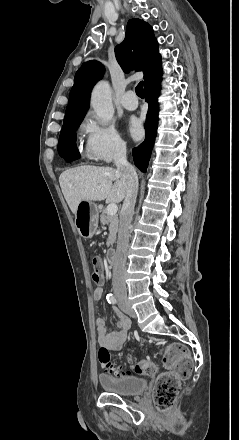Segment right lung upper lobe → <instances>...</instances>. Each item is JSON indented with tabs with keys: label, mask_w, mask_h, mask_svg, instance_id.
Returning a JSON list of instances; mask_svg holds the SVG:
<instances>
[{
	"label": "right lung upper lobe",
	"mask_w": 239,
	"mask_h": 440,
	"mask_svg": "<svg viewBox=\"0 0 239 440\" xmlns=\"http://www.w3.org/2000/svg\"><path fill=\"white\" fill-rule=\"evenodd\" d=\"M115 56L125 72L143 71L144 82L161 70V55L153 29L148 23L137 18L128 21L126 37L115 47ZM103 74L104 67L96 60L82 64L75 74L63 124L85 116L89 108L90 92Z\"/></svg>",
	"instance_id": "cb5924a9"
}]
</instances>
